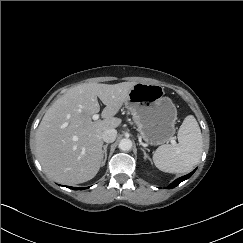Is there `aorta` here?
<instances>
[{
  "mask_svg": "<svg viewBox=\"0 0 243 243\" xmlns=\"http://www.w3.org/2000/svg\"><path fill=\"white\" fill-rule=\"evenodd\" d=\"M118 147L122 151H129L132 148V141L130 139L124 138L120 141Z\"/></svg>",
  "mask_w": 243,
  "mask_h": 243,
  "instance_id": "1",
  "label": "aorta"
}]
</instances>
